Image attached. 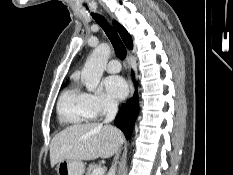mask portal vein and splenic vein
Returning a JSON list of instances; mask_svg holds the SVG:
<instances>
[{
    "label": "portal vein and splenic vein",
    "instance_id": "portal-vein-and-splenic-vein-1",
    "mask_svg": "<svg viewBox=\"0 0 233 175\" xmlns=\"http://www.w3.org/2000/svg\"><path fill=\"white\" fill-rule=\"evenodd\" d=\"M104 174V168L98 167L93 171V175H103Z\"/></svg>",
    "mask_w": 233,
    "mask_h": 175
}]
</instances>
